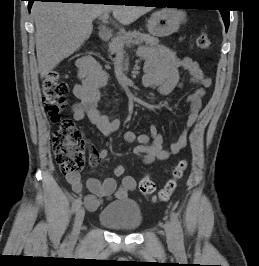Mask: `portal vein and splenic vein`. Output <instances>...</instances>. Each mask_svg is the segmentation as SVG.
Returning a JSON list of instances; mask_svg holds the SVG:
<instances>
[{
  "label": "portal vein and splenic vein",
  "mask_w": 259,
  "mask_h": 266,
  "mask_svg": "<svg viewBox=\"0 0 259 266\" xmlns=\"http://www.w3.org/2000/svg\"><path fill=\"white\" fill-rule=\"evenodd\" d=\"M108 17H109L108 13H104V14L100 17V19H101V21H102L103 23H107V21H108Z\"/></svg>",
  "instance_id": "obj_1"
}]
</instances>
